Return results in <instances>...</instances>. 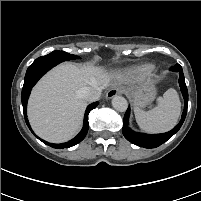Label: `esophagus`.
<instances>
[{"label":"esophagus","mask_w":201,"mask_h":201,"mask_svg":"<svg viewBox=\"0 0 201 201\" xmlns=\"http://www.w3.org/2000/svg\"><path fill=\"white\" fill-rule=\"evenodd\" d=\"M120 93H121V90L119 88L112 87L107 91L106 98L111 99V98H113L114 96H116V95H118Z\"/></svg>","instance_id":"1"}]
</instances>
